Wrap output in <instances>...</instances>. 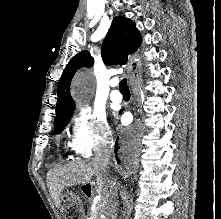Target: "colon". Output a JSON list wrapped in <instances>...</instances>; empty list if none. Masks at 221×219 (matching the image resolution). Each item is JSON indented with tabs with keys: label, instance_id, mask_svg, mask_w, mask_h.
<instances>
[{
	"label": "colon",
	"instance_id": "obj_1",
	"mask_svg": "<svg viewBox=\"0 0 221 219\" xmlns=\"http://www.w3.org/2000/svg\"><path fill=\"white\" fill-rule=\"evenodd\" d=\"M64 207L68 219H79L81 216V208L79 199L74 194L64 196Z\"/></svg>",
	"mask_w": 221,
	"mask_h": 219
}]
</instances>
